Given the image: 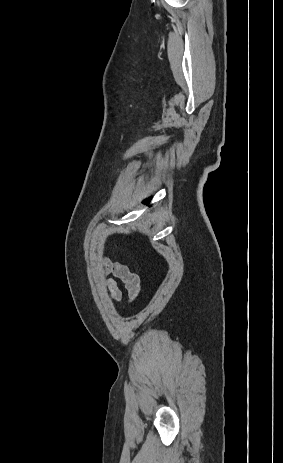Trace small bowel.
<instances>
[{
	"label": "small bowel",
	"mask_w": 283,
	"mask_h": 463,
	"mask_svg": "<svg viewBox=\"0 0 283 463\" xmlns=\"http://www.w3.org/2000/svg\"><path fill=\"white\" fill-rule=\"evenodd\" d=\"M101 275L104 278V287L108 290V303L117 304L122 299V291L118 286L117 279L124 282L129 297L135 295L137 285L132 273L123 265L106 258L101 268Z\"/></svg>",
	"instance_id": "small-bowel-1"
}]
</instances>
